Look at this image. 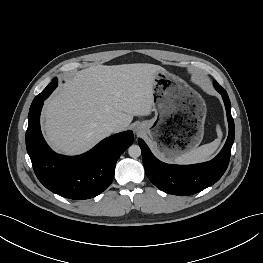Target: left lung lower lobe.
Returning <instances> with one entry per match:
<instances>
[{"label": "left lung lower lobe", "mask_w": 263, "mask_h": 263, "mask_svg": "<svg viewBox=\"0 0 263 263\" xmlns=\"http://www.w3.org/2000/svg\"><path fill=\"white\" fill-rule=\"evenodd\" d=\"M214 87L222 95L229 123L227 141L214 159L193 165L166 164L151 153L142 139H138L148 178L166 193L180 196L198 193L216 183L227 169L235 137L234 120L231 116V104L227 92L217 82H214Z\"/></svg>", "instance_id": "obj_1"}]
</instances>
